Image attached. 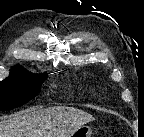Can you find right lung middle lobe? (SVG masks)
<instances>
[{"label": "right lung middle lobe", "instance_id": "dd1d6c3e", "mask_svg": "<svg viewBox=\"0 0 144 137\" xmlns=\"http://www.w3.org/2000/svg\"><path fill=\"white\" fill-rule=\"evenodd\" d=\"M47 73L30 74L23 67H15L10 76L0 82V111L17 108L40 91Z\"/></svg>", "mask_w": 144, "mask_h": 137}]
</instances>
